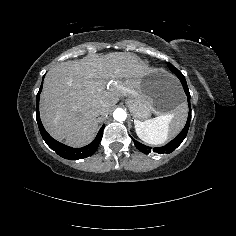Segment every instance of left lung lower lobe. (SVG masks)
Returning a JSON list of instances; mask_svg holds the SVG:
<instances>
[{
	"label": "left lung lower lobe",
	"mask_w": 236,
	"mask_h": 236,
	"mask_svg": "<svg viewBox=\"0 0 236 236\" xmlns=\"http://www.w3.org/2000/svg\"><path fill=\"white\" fill-rule=\"evenodd\" d=\"M168 67L169 69L174 72L176 74V76L179 78V80L181 81L182 85H183V88H184V91L187 95V99H188V104H189V115H188V119H187V122H186V125L185 127L183 128V130L179 133L178 136H176L171 142H169L167 145L165 146H162V147H156V148H152L151 147H148L144 144H141L140 142L136 141L133 139L134 141V144L135 146L143 153L145 154H148V153H151V151L153 152H157L159 154H162V153H171L173 152L182 142L183 140L185 139L186 135H187V132H188V129H189V126H190V120H191V106H190V93H189V90H188V86H187V83H186V80L184 78V76L182 75V73L177 69L175 68L171 63H168Z\"/></svg>",
	"instance_id": "1"
}]
</instances>
